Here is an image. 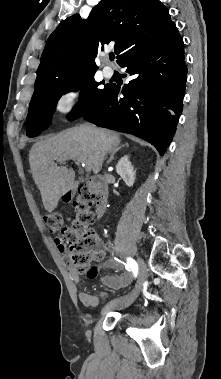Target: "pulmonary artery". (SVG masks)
<instances>
[{
  "label": "pulmonary artery",
  "mask_w": 221,
  "mask_h": 379,
  "mask_svg": "<svg viewBox=\"0 0 221 379\" xmlns=\"http://www.w3.org/2000/svg\"><path fill=\"white\" fill-rule=\"evenodd\" d=\"M113 74H114V71H113V69H112L111 67H109V66H105V67L103 68V75H104L105 77L110 78V77L113 76Z\"/></svg>",
  "instance_id": "1"
}]
</instances>
